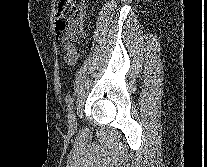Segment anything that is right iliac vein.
<instances>
[{
	"label": "right iliac vein",
	"instance_id": "right-iliac-vein-1",
	"mask_svg": "<svg viewBox=\"0 0 207 167\" xmlns=\"http://www.w3.org/2000/svg\"><path fill=\"white\" fill-rule=\"evenodd\" d=\"M68 126L70 131H74L76 129V116L73 111L69 113L68 116Z\"/></svg>",
	"mask_w": 207,
	"mask_h": 167
}]
</instances>
